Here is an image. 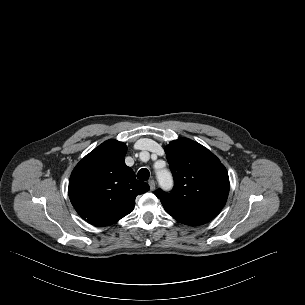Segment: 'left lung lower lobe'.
Wrapping results in <instances>:
<instances>
[{
  "label": "left lung lower lobe",
  "instance_id": "left-lung-lower-lobe-1",
  "mask_svg": "<svg viewBox=\"0 0 305 305\" xmlns=\"http://www.w3.org/2000/svg\"><path fill=\"white\" fill-rule=\"evenodd\" d=\"M179 222L186 224V225H191V226H197V225H202L205 224L206 222L202 221H196V220H185V219H178Z\"/></svg>",
  "mask_w": 305,
  "mask_h": 305
}]
</instances>
